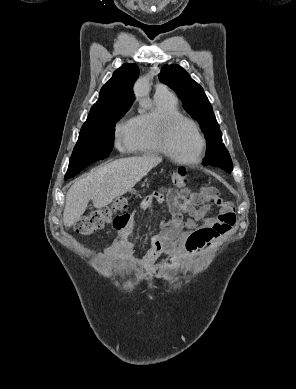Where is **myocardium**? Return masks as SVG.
Segmentation results:
<instances>
[{
  "mask_svg": "<svg viewBox=\"0 0 296 389\" xmlns=\"http://www.w3.org/2000/svg\"><path fill=\"white\" fill-rule=\"evenodd\" d=\"M182 121L187 122L190 125H192V127L196 131V134H197V136L199 138V142H200L198 154L194 159H191V160H186V159H182V158L177 157L173 153V151L171 149V145H170V137H171L172 130L177 123L182 122ZM158 142H159V146H160L163 154H165L167 157H169L173 161L180 163V164H184V165H194V164L199 163L201 161V159L203 158V155H204L205 149H206V139H205L204 134L202 133V130H201L199 124L194 119H192L188 116H185L181 113L171 114V115L165 116L160 121V124L158 127Z\"/></svg>",
  "mask_w": 296,
  "mask_h": 389,
  "instance_id": "1",
  "label": "myocardium"
}]
</instances>
